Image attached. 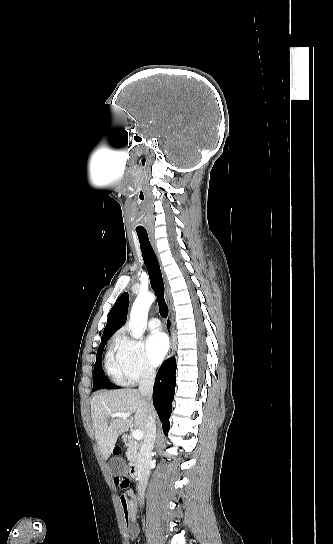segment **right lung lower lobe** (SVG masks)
<instances>
[{"instance_id": "right-lung-lower-lobe-1", "label": "right lung lower lobe", "mask_w": 333, "mask_h": 544, "mask_svg": "<svg viewBox=\"0 0 333 544\" xmlns=\"http://www.w3.org/2000/svg\"><path fill=\"white\" fill-rule=\"evenodd\" d=\"M175 372V359L170 358L164 361L158 370L153 388V404L166 435L170 427L169 418L175 393Z\"/></svg>"}]
</instances>
